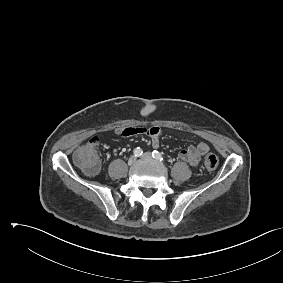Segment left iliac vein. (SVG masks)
<instances>
[{
	"instance_id": "obj_1",
	"label": "left iliac vein",
	"mask_w": 283,
	"mask_h": 283,
	"mask_svg": "<svg viewBox=\"0 0 283 283\" xmlns=\"http://www.w3.org/2000/svg\"><path fill=\"white\" fill-rule=\"evenodd\" d=\"M142 158H144V159H151V158H152V155H151L150 152H146V153H144V154L142 155Z\"/></svg>"
}]
</instances>
